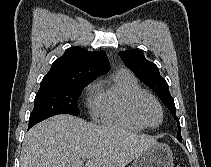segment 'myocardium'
Masks as SVG:
<instances>
[{
    "instance_id": "f54148a6",
    "label": "myocardium",
    "mask_w": 211,
    "mask_h": 167,
    "mask_svg": "<svg viewBox=\"0 0 211 167\" xmlns=\"http://www.w3.org/2000/svg\"><path fill=\"white\" fill-rule=\"evenodd\" d=\"M145 99L152 100L157 105V107L160 111V114H161L160 121L155 125H151V124L147 123L141 114V104H142L143 100H145ZM131 111H132L133 115L135 116V118L144 127L156 128L159 125H161L164 120V110H163V107H162L160 101L153 94L146 92V91L140 92L133 97V99L131 101Z\"/></svg>"
}]
</instances>
